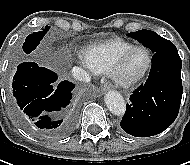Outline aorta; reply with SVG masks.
Here are the masks:
<instances>
[{"mask_svg":"<svg viewBox=\"0 0 190 165\" xmlns=\"http://www.w3.org/2000/svg\"><path fill=\"white\" fill-rule=\"evenodd\" d=\"M107 108L111 113L122 116L126 111V103L122 95L116 91H109L104 97Z\"/></svg>","mask_w":190,"mask_h":165,"instance_id":"aorta-1","label":"aorta"}]
</instances>
